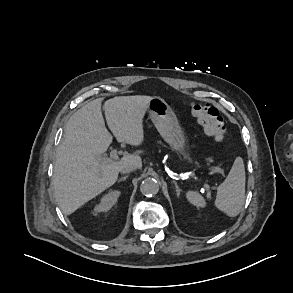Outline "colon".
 Returning a JSON list of instances; mask_svg holds the SVG:
<instances>
[{"mask_svg": "<svg viewBox=\"0 0 293 293\" xmlns=\"http://www.w3.org/2000/svg\"><path fill=\"white\" fill-rule=\"evenodd\" d=\"M190 110L206 135L218 142L225 138L224 120L217 108L208 103H193Z\"/></svg>", "mask_w": 293, "mask_h": 293, "instance_id": "5ec220e1", "label": "colon"}]
</instances>
